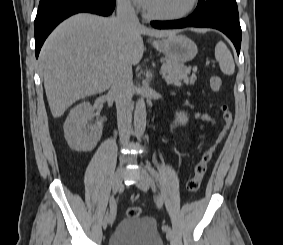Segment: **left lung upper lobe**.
<instances>
[{"mask_svg":"<svg viewBox=\"0 0 283 245\" xmlns=\"http://www.w3.org/2000/svg\"><path fill=\"white\" fill-rule=\"evenodd\" d=\"M195 16H214L239 22L235 0H199Z\"/></svg>","mask_w":283,"mask_h":245,"instance_id":"5c2ea615","label":"left lung upper lobe"}]
</instances>
